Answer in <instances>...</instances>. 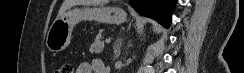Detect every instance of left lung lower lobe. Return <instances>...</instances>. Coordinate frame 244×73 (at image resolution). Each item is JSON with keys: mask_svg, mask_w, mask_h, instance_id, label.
Returning a JSON list of instances; mask_svg holds the SVG:
<instances>
[{"mask_svg": "<svg viewBox=\"0 0 244 73\" xmlns=\"http://www.w3.org/2000/svg\"><path fill=\"white\" fill-rule=\"evenodd\" d=\"M130 4L140 14L154 18L169 28L175 0H130Z\"/></svg>", "mask_w": 244, "mask_h": 73, "instance_id": "0a47b994", "label": "left lung lower lobe"}]
</instances>
